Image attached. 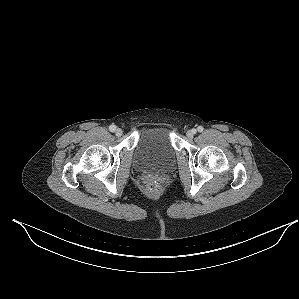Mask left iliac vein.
Segmentation results:
<instances>
[{"label":"left iliac vein","instance_id":"4c4485c4","mask_svg":"<svg viewBox=\"0 0 299 299\" xmlns=\"http://www.w3.org/2000/svg\"><path fill=\"white\" fill-rule=\"evenodd\" d=\"M195 133H196V129H191V130L187 131L186 135L189 139H192L193 136L195 135Z\"/></svg>","mask_w":299,"mask_h":299}]
</instances>
